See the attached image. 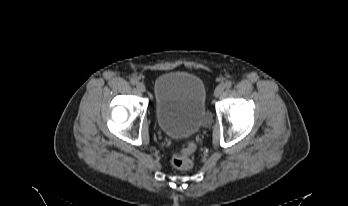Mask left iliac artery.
<instances>
[{
	"label": "left iliac artery",
	"mask_w": 348,
	"mask_h": 206,
	"mask_svg": "<svg viewBox=\"0 0 348 206\" xmlns=\"http://www.w3.org/2000/svg\"><path fill=\"white\" fill-rule=\"evenodd\" d=\"M231 86H232V82H231V81H226L225 84H224V87H225L226 89L231 88Z\"/></svg>",
	"instance_id": "1"
}]
</instances>
